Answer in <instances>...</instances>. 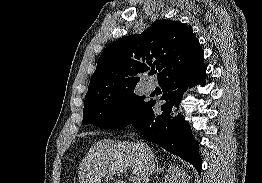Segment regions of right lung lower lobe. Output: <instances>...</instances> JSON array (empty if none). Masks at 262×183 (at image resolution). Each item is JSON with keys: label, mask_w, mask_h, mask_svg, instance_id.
Here are the masks:
<instances>
[{"label": "right lung lower lobe", "mask_w": 262, "mask_h": 183, "mask_svg": "<svg viewBox=\"0 0 262 183\" xmlns=\"http://www.w3.org/2000/svg\"><path fill=\"white\" fill-rule=\"evenodd\" d=\"M205 74L206 66L202 63L188 71L169 76L159 83L163 90L160 100L165 101L161 105L162 113H154L152 107L156 101L151 100L131 122L146 140L188 161L197 169L198 173L201 172L202 160L190 127L181 116L171 121L169 114L172 106L180 103V99L188 87L196 84L204 86Z\"/></svg>", "instance_id": "obj_1"}]
</instances>
